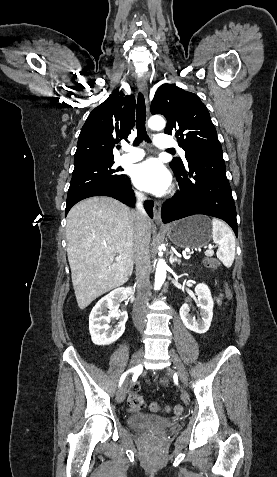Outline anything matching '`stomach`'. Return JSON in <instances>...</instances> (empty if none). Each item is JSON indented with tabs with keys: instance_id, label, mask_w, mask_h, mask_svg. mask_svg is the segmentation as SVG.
Returning a JSON list of instances; mask_svg holds the SVG:
<instances>
[{
	"instance_id": "obj_1",
	"label": "stomach",
	"mask_w": 277,
	"mask_h": 477,
	"mask_svg": "<svg viewBox=\"0 0 277 477\" xmlns=\"http://www.w3.org/2000/svg\"><path fill=\"white\" fill-rule=\"evenodd\" d=\"M170 241L185 249L201 248L212 238L210 219L204 215H194L169 224L165 228Z\"/></svg>"
}]
</instances>
